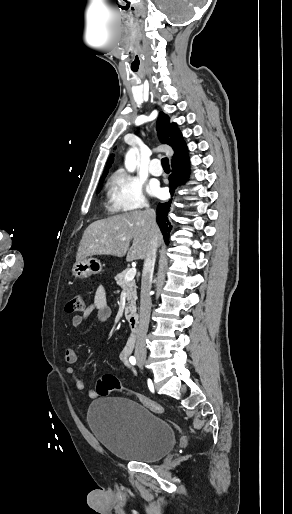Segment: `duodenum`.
Instances as JSON below:
<instances>
[{
  "label": "duodenum",
  "mask_w": 292,
  "mask_h": 514,
  "mask_svg": "<svg viewBox=\"0 0 292 514\" xmlns=\"http://www.w3.org/2000/svg\"><path fill=\"white\" fill-rule=\"evenodd\" d=\"M129 329L133 334H136L139 329V317L137 314H133L129 317Z\"/></svg>",
  "instance_id": "obj_1"
}]
</instances>
